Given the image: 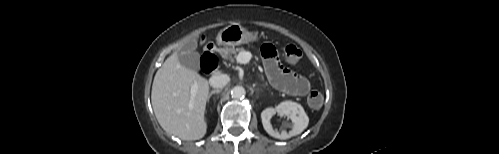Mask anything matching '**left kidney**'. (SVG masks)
Masks as SVG:
<instances>
[{
	"mask_svg": "<svg viewBox=\"0 0 499 154\" xmlns=\"http://www.w3.org/2000/svg\"><path fill=\"white\" fill-rule=\"evenodd\" d=\"M276 113L287 116L292 121V130L286 132L285 130L279 132L274 130L270 119ZM262 124L266 132L272 137L278 139H288L295 135L300 134L308 126L309 118L305 113L303 107L292 101L281 102L276 108H266L261 113Z\"/></svg>",
	"mask_w": 499,
	"mask_h": 154,
	"instance_id": "1",
	"label": "left kidney"
}]
</instances>
